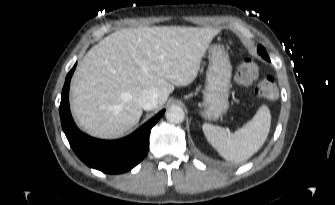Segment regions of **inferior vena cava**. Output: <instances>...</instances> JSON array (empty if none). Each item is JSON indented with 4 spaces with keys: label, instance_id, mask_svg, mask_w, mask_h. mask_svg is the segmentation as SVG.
<instances>
[{
    "label": "inferior vena cava",
    "instance_id": "obj_1",
    "mask_svg": "<svg viewBox=\"0 0 335 205\" xmlns=\"http://www.w3.org/2000/svg\"><path fill=\"white\" fill-rule=\"evenodd\" d=\"M138 102L144 110H152L157 107L158 93L155 89H149L142 93Z\"/></svg>",
    "mask_w": 335,
    "mask_h": 205
}]
</instances>
